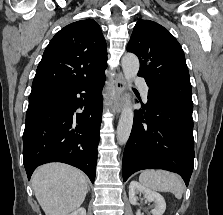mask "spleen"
Here are the masks:
<instances>
[{
    "label": "spleen",
    "mask_w": 223,
    "mask_h": 215,
    "mask_svg": "<svg viewBox=\"0 0 223 215\" xmlns=\"http://www.w3.org/2000/svg\"><path fill=\"white\" fill-rule=\"evenodd\" d=\"M139 181L155 191H172L177 199H181L185 189L182 179L176 173L163 169H145L140 173Z\"/></svg>",
    "instance_id": "spleen-1"
}]
</instances>
